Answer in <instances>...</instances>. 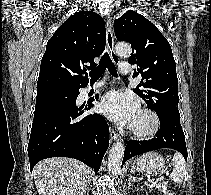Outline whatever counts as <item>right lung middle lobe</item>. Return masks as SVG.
Instances as JSON below:
<instances>
[{
	"label": "right lung middle lobe",
	"instance_id": "obj_1",
	"mask_svg": "<svg viewBox=\"0 0 211 195\" xmlns=\"http://www.w3.org/2000/svg\"><path fill=\"white\" fill-rule=\"evenodd\" d=\"M50 92H52V91L45 92V93H40V94H37V96L45 95V94L50 93Z\"/></svg>",
	"mask_w": 211,
	"mask_h": 195
}]
</instances>
